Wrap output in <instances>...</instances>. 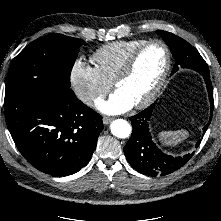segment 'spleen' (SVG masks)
<instances>
[{
  "label": "spleen",
  "mask_w": 221,
  "mask_h": 221,
  "mask_svg": "<svg viewBox=\"0 0 221 221\" xmlns=\"http://www.w3.org/2000/svg\"><path fill=\"white\" fill-rule=\"evenodd\" d=\"M189 136L187 130L164 131L159 134V139L166 145H177Z\"/></svg>",
  "instance_id": "spleen-1"
}]
</instances>
